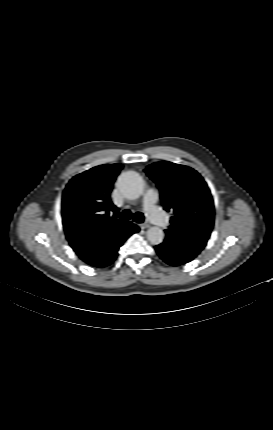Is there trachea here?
Masks as SVG:
<instances>
[{"mask_svg": "<svg viewBox=\"0 0 273 430\" xmlns=\"http://www.w3.org/2000/svg\"><path fill=\"white\" fill-rule=\"evenodd\" d=\"M119 216L122 221L129 220L131 216L133 220L137 223H142L144 221V215L141 212H136L135 214H132L130 210H124Z\"/></svg>", "mask_w": 273, "mask_h": 430, "instance_id": "3493384b", "label": "trachea"}]
</instances>
